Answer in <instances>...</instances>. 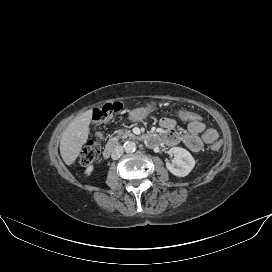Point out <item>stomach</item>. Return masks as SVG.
<instances>
[{
  "mask_svg": "<svg viewBox=\"0 0 272 272\" xmlns=\"http://www.w3.org/2000/svg\"><path fill=\"white\" fill-rule=\"evenodd\" d=\"M156 109V103L148 104L146 107L136 108L129 113L131 121H140L145 119L150 112Z\"/></svg>",
  "mask_w": 272,
  "mask_h": 272,
  "instance_id": "obj_1",
  "label": "stomach"
}]
</instances>
